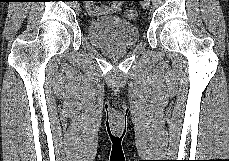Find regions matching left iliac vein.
Listing matches in <instances>:
<instances>
[{
	"instance_id": "4c4485c4",
	"label": "left iliac vein",
	"mask_w": 229,
	"mask_h": 161,
	"mask_svg": "<svg viewBox=\"0 0 229 161\" xmlns=\"http://www.w3.org/2000/svg\"><path fill=\"white\" fill-rule=\"evenodd\" d=\"M149 5H150V0H144V1H143V7H144V8H148Z\"/></svg>"
}]
</instances>
